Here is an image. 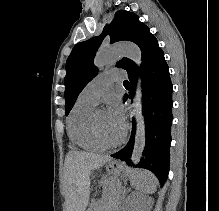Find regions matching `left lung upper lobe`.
<instances>
[{"mask_svg": "<svg viewBox=\"0 0 219 211\" xmlns=\"http://www.w3.org/2000/svg\"><path fill=\"white\" fill-rule=\"evenodd\" d=\"M110 35V43L132 41L142 52V65L156 53L159 48L157 39L149 28L139 21V17L129 11H117L110 25H107L100 36L76 44L66 62L65 76V113L69 114L83 88L97 75L93 60L98 47ZM125 69L128 74L137 70V65L128 58H123L116 64Z\"/></svg>", "mask_w": 219, "mask_h": 211, "instance_id": "1", "label": "left lung upper lobe"}]
</instances>
